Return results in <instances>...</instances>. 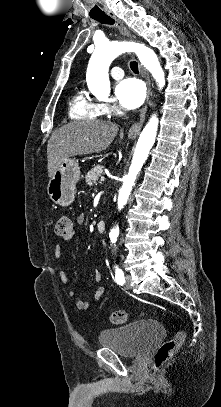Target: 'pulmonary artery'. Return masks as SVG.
Returning <instances> with one entry per match:
<instances>
[{
    "label": "pulmonary artery",
    "instance_id": "obj_1",
    "mask_svg": "<svg viewBox=\"0 0 221 407\" xmlns=\"http://www.w3.org/2000/svg\"><path fill=\"white\" fill-rule=\"evenodd\" d=\"M111 75L115 79H121L124 76V71L121 67L116 66L111 69Z\"/></svg>",
    "mask_w": 221,
    "mask_h": 407
}]
</instances>
